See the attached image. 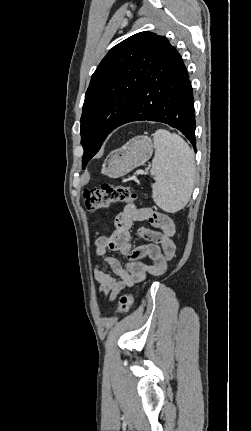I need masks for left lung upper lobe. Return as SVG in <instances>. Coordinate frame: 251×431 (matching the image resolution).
<instances>
[{"label": "left lung upper lobe", "instance_id": "5c2ea615", "mask_svg": "<svg viewBox=\"0 0 251 431\" xmlns=\"http://www.w3.org/2000/svg\"><path fill=\"white\" fill-rule=\"evenodd\" d=\"M166 41L152 32L137 33L114 46L98 65L80 120L83 169L125 117Z\"/></svg>", "mask_w": 251, "mask_h": 431}]
</instances>
